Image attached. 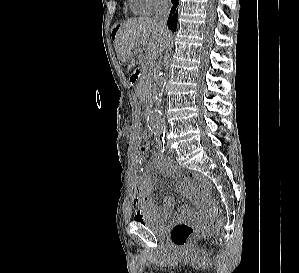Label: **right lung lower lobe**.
<instances>
[{
  "label": "right lung lower lobe",
  "mask_w": 299,
  "mask_h": 273,
  "mask_svg": "<svg viewBox=\"0 0 299 273\" xmlns=\"http://www.w3.org/2000/svg\"><path fill=\"white\" fill-rule=\"evenodd\" d=\"M173 7L171 8V12L168 18V27L169 29L174 32L176 30V26H177V13H178V2L179 0H171Z\"/></svg>",
  "instance_id": "98d812e1"
}]
</instances>
